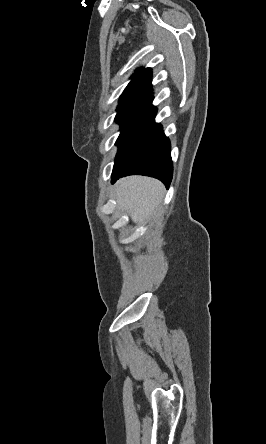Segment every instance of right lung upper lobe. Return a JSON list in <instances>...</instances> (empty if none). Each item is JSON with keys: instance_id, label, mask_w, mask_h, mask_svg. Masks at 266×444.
I'll list each match as a JSON object with an SVG mask.
<instances>
[{"instance_id": "1", "label": "right lung upper lobe", "mask_w": 266, "mask_h": 444, "mask_svg": "<svg viewBox=\"0 0 266 444\" xmlns=\"http://www.w3.org/2000/svg\"><path fill=\"white\" fill-rule=\"evenodd\" d=\"M137 71L138 72L134 74L132 80L121 95L120 100L135 97L153 98L151 68H141Z\"/></svg>"}]
</instances>
